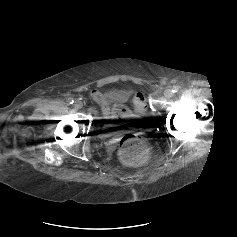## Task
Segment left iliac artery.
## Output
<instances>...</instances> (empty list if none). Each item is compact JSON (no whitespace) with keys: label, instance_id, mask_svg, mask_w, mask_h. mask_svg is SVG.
<instances>
[{"label":"left iliac artery","instance_id":"obj_1","mask_svg":"<svg viewBox=\"0 0 237 237\" xmlns=\"http://www.w3.org/2000/svg\"><path fill=\"white\" fill-rule=\"evenodd\" d=\"M178 91H179V87L178 86H173L172 92L177 93Z\"/></svg>","mask_w":237,"mask_h":237}]
</instances>
